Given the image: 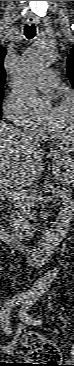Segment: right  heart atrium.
<instances>
[{"label": "right heart atrium", "mask_w": 74, "mask_h": 366, "mask_svg": "<svg viewBox=\"0 0 74 366\" xmlns=\"http://www.w3.org/2000/svg\"><path fill=\"white\" fill-rule=\"evenodd\" d=\"M3 112L5 117L17 127L30 132H35L32 124L23 114V108L19 100L8 97L4 102Z\"/></svg>", "instance_id": "d8ad5b80"}]
</instances>
